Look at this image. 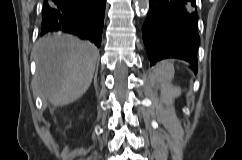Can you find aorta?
I'll return each mask as SVG.
<instances>
[{"label": "aorta", "mask_w": 242, "mask_h": 160, "mask_svg": "<svg viewBox=\"0 0 242 160\" xmlns=\"http://www.w3.org/2000/svg\"><path fill=\"white\" fill-rule=\"evenodd\" d=\"M136 7L144 12L148 8V0H136Z\"/></svg>", "instance_id": "aorta-1"}]
</instances>
